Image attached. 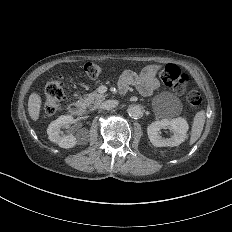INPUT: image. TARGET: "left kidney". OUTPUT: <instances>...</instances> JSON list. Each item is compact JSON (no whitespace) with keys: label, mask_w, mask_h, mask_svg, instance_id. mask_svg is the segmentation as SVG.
Wrapping results in <instances>:
<instances>
[{"label":"left kidney","mask_w":232,"mask_h":232,"mask_svg":"<svg viewBox=\"0 0 232 232\" xmlns=\"http://www.w3.org/2000/svg\"><path fill=\"white\" fill-rule=\"evenodd\" d=\"M168 127L172 132L170 138H164L159 135L162 127ZM189 124L184 117L172 118L169 121L163 120L156 122L148 127V136L150 142L156 147H174L180 145L187 137Z\"/></svg>","instance_id":"5707ae66"}]
</instances>
